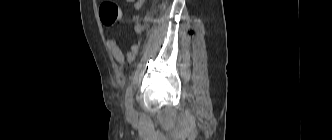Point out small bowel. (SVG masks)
<instances>
[{
  "mask_svg": "<svg viewBox=\"0 0 332 140\" xmlns=\"http://www.w3.org/2000/svg\"><path fill=\"white\" fill-rule=\"evenodd\" d=\"M128 3H132L134 8L139 10L143 7L146 0H125ZM107 47L109 51L111 52L113 58L115 61L120 64L124 65L125 62L131 63L135 60L137 54H138V45L134 44L131 46V48L127 51L126 54L122 52L120 49L118 42L115 38H110L107 41Z\"/></svg>",
  "mask_w": 332,
  "mask_h": 140,
  "instance_id": "1",
  "label": "small bowel"
}]
</instances>
